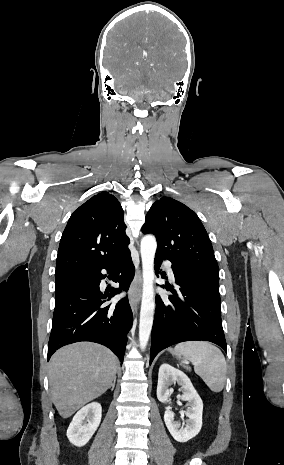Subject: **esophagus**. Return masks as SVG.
Here are the masks:
<instances>
[{
  "instance_id": "34e87169",
  "label": "esophagus",
  "mask_w": 284,
  "mask_h": 465,
  "mask_svg": "<svg viewBox=\"0 0 284 465\" xmlns=\"http://www.w3.org/2000/svg\"><path fill=\"white\" fill-rule=\"evenodd\" d=\"M141 285H142V278L140 272H137L133 282L130 285V290H129V302L130 306L132 308L133 313L136 310V305L140 297V292H141Z\"/></svg>"
}]
</instances>
